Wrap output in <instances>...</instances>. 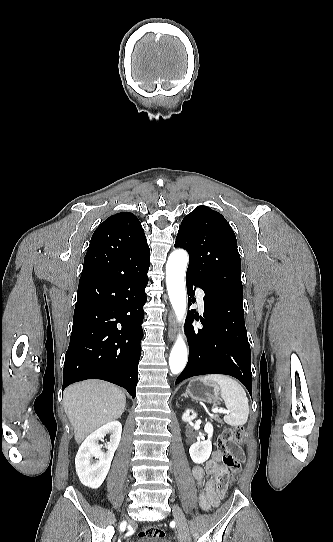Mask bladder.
Wrapping results in <instances>:
<instances>
[{"instance_id": "obj_1", "label": "bladder", "mask_w": 333, "mask_h": 542, "mask_svg": "<svg viewBox=\"0 0 333 542\" xmlns=\"http://www.w3.org/2000/svg\"><path fill=\"white\" fill-rule=\"evenodd\" d=\"M134 542H171L168 539H164L161 537H150V538H144V539H137Z\"/></svg>"}]
</instances>
